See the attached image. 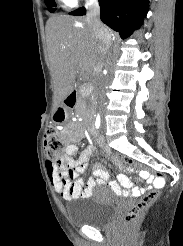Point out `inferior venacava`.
Returning a JSON list of instances; mask_svg holds the SVG:
<instances>
[{"label": "inferior vena cava", "instance_id": "602c4592", "mask_svg": "<svg viewBox=\"0 0 183 246\" xmlns=\"http://www.w3.org/2000/svg\"><path fill=\"white\" fill-rule=\"evenodd\" d=\"M87 21L92 28L93 34L99 39L103 46V56L107 55L108 49L111 45V35L108 29L100 21V7L98 0H88L87 2ZM104 66V60L101 59L96 66L97 74V95L99 100V107L103 109L105 106V92L104 82L101 78L102 68Z\"/></svg>", "mask_w": 183, "mask_h": 246}]
</instances>
